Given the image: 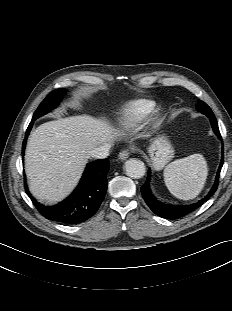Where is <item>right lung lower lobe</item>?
<instances>
[{"instance_id":"obj_1","label":"right lung lower lobe","mask_w":232,"mask_h":311,"mask_svg":"<svg viewBox=\"0 0 232 311\" xmlns=\"http://www.w3.org/2000/svg\"><path fill=\"white\" fill-rule=\"evenodd\" d=\"M33 121L29 124L26 138L23 141V155ZM108 170V159H98L90 162L75 191L67 199L55 206L39 204L28 191L26 183L25 190L38 211L47 219L64 224H78L92 217L103 202L108 185L106 179Z\"/></svg>"}]
</instances>
